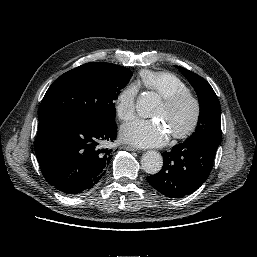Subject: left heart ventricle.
I'll list each match as a JSON object with an SVG mask.
<instances>
[{
    "label": "left heart ventricle",
    "mask_w": 257,
    "mask_h": 257,
    "mask_svg": "<svg viewBox=\"0 0 257 257\" xmlns=\"http://www.w3.org/2000/svg\"><path fill=\"white\" fill-rule=\"evenodd\" d=\"M194 113V106L190 101H184L173 109L166 108L162 102L158 105L153 116L162 119L169 133H174L183 130L191 121Z\"/></svg>",
    "instance_id": "1"
}]
</instances>
